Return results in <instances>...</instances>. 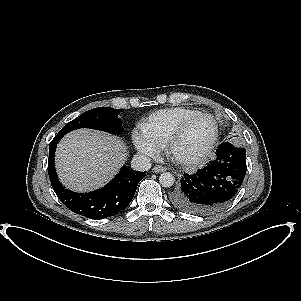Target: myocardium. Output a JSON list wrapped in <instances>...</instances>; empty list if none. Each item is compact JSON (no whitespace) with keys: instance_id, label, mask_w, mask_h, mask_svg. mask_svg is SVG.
<instances>
[{"instance_id":"obj_1","label":"myocardium","mask_w":301,"mask_h":301,"mask_svg":"<svg viewBox=\"0 0 301 301\" xmlns=\"http://www.w3.org/2000/svg\"><path fill=\"white\" fill-rule=\"evenodd\" d=\"M201 118L210 119L214 124L213 135H212L209 143L198 155H196L194 157H185L184 158V157L178 156L175 152L176 145L183 138L188 127L192 123H194L196 120L201 119ZM218 135H219L218 123H217L216 119L214 118V116H212L211 114H208V113L200 112V113L186 119L184 122H182L178 126V128L168 138V140L165 144V149H166L167 154L171 158L177 160L178 162L183 163L184 165H197V164L205 162L209 158L211 152L213 151V149L216 145Z\"/></svg>"}]
</instances>
